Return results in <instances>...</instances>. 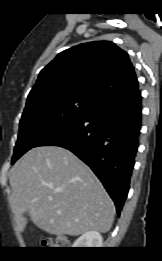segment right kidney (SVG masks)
I'll return each instance as SVG.
<instances>
[{
    "mask_svg": "<svg viewBox=\"0 0 162 261\" xmlns=\"http://www.w3.org/2000/svg\"><path fill=\"white\" fill-rule=\"evenodd\" d=\"M103 238L97 231H89L80 236L72 245L73 248H100Z\"/></svg>",
    "mask_w": 162,
    "mask_h": 261,
    "instance_id": "obj_1",
    "label": "right kidney"
}]
</instances>
